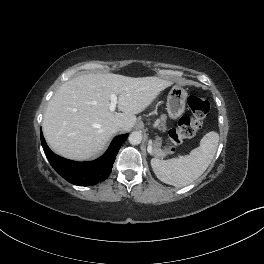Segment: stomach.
I'll use <instances>...</instances> for the list:
<instances>
[{
  "label": "stomach",
  "instance_id": "stomach-1",
  "mask_svg": "<svg viewBox=\"0 0 264 264\" xmlns=\"http://www.w3.org/2000/svg\"><path fill=\"white\" fill-rule=\"evenodd\" d=\"M187 91L179 85L171 88L167 97V112L171 119H176L185 111Z\"/></svg>",
  "mask_w": 264,
  "mask_h": 264
}]
</instances>
